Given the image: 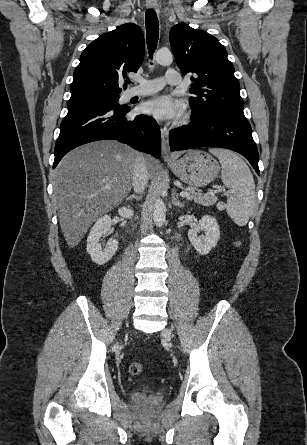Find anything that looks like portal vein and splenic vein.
I'll return each mask as SVG.
<instances>
[{
    "label": "portal vein and splenic vein",
    "instance_id": "18ae733b",
    "mask_svg": "<svg viewBox=\"0 0 307 445\" xmlns=\"http://www.w3.org/2000/svg\"><path fill=\"white\" fill-rule=\"evenodd\" d=\"M106 188H110V186H106ZM181 196H188V192H180Z\"/></svg>",
    "mask_w": 307,
    "mask_h": 445
}]
</instances>
